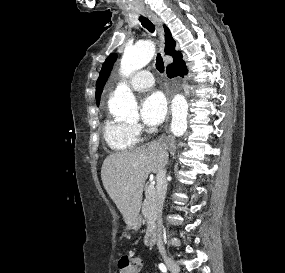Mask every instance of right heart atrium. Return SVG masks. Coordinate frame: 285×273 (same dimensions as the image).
<instances>
[{"label": "right heart atrium", "mask_w": 285, "mask_h": 273, "mask_svg": "<svg viewBox=\"0 0 285 273\" xmlns=\"http://www.w3.org/2000/svg\"><path fill=\"white\" fill-rule=\"evenodd\" d=\"M132 129L136 134H139L141 132V126L138 124L132 125Z\"/></svg>", "instance_id": "right-heart-atrium-1"}]
</instances>
